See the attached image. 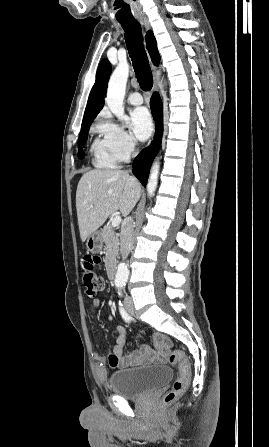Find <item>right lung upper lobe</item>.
Returning a JSON list of instances; mask_svg holds the SVG:
<instances>
[{
  "label": "right lung upper lobe",
  "mask_w": 269,
  "mask_h": 447,
  "mask_svg": "<svg viewBox=\"0 0 269 447\" xmlns=\"http://www.w3.org/2000/svg\"><path fill=\"white\" fill-rule=\"evenodd\" d=\"M146 44L151 59L155 65L159 64L160 55L157 49L155 37L151 31L146 34ZM111 74V65L107 59H103L96 74V82L91 90L85 110L82 126L92 123L97 114L103 108L104 97L107 92V83Z\"/></svg>",
  "instance_id": "right-lung-upper-lobe-1"
}]
</instances>
